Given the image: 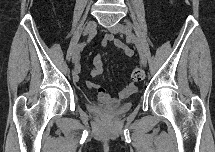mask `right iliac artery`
<instances>
[{"label":"right iliac artery","instance_id":"obj_1","mask_svg":"<svg viewBox=\"0 0 215 152\" xmlns=\"http://www.w3.org/2000/svg\"><path fill=\"white\" fill-rule=\"evenodd\" d=\"M94 35H95V32L89 34L87 41L89 42V41L94 37ZM85 45H86V43L83 42V43H80V44H79V47H80V48H83Z\"/></svg>","mask_w":215,"mask_h":152}]
</instances>
